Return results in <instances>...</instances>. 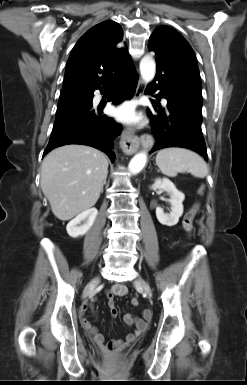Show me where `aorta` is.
Here are the masks:
<instances>
[{
  "instance_id": "1",
  "label": "aorta",
  "mask_w": 247,
  "mask_h": 385,
  "mask_svg": "<svg viewBox=\"0 0 247 385\" xmlns=\"http://www.w3.org/2000/svg\"><path fill=\"white\" fill-rule=\"evenodd\" d=\"M156 73V63L154 59L145 55L140 61V74L142 79L149 83L153 80ZM147 162L146 152L137 153L130 161L128 168L129 171L133 174L139 173Z\"/></svg>"
}]
</instances>
